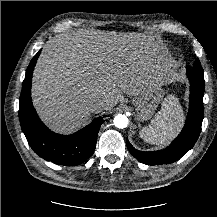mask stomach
Segmentation results:
<instances>
[{
	"mask_svg": "<svg viewBox=\"0 0 217 217\" xmlns=\"http://www.w3.org/2000/svg\"><path fill=\"white\" fill-rule=\"evenodd\" d=\"M163 90L160 86L151 87L143 90L139 95L135 96L132 104L137 113V119L146 121L150 119L156 110L158 104L162 100Z\"/></svg>",
	"mask_w": 217,
	"mask_h": 217,
	"instance_id": "stomach-1",
	"label": "stomach"
}]
</instances>
